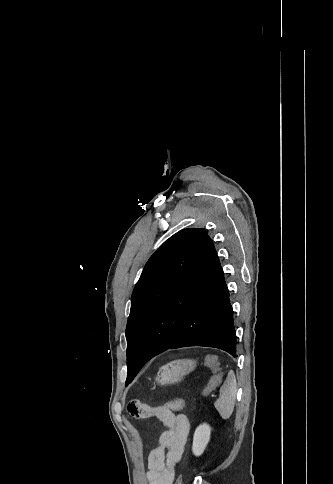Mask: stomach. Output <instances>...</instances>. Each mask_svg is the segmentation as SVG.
Masks as SVG:
<instances>
[{
    "label": "stomach",
    "instance_id": "obj_1",
    "mask_svg": "<svg viewBox=\"0 0 333 484\" xmlns=\"http://www.w3.org/2000/svg\"><path fill=\"white\" fill-rule=\"evenodd\" d=\"M196 362L190 359H178L161 366L156 376V382L160 385L173 384L182 379L183 376L193 371Z\"/></svg>",
    "mask_w": 333,
    "mask_h": 484
}]
</instances>
